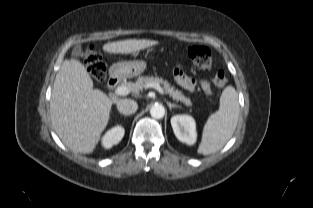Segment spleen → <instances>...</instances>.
Instances as JSON below:
<instances>
[{
  "instance_id": "1",
  "label": "spleen",
  "mask_w": 313,
  "mask_h": 208,
  "mask_svg": "<svg viewBox=\"0 0 313 208\" xmlns=\"http://www.w3.org/2000/svg\"><path fill=\"white\" fill-rule=\"evenodd\" d=\"M238 93L227 86L220 97L219 110L211 114L203 128L202 140L197 152L209 155L220 150L232 137L239 118Z\"/></svg>"
}]
</instances>
